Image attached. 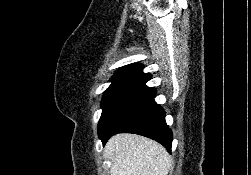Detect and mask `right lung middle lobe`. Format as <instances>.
Returning <instances> with one entry per match:
<instances>
[{
	"instance_id": "dd1d6c3e",
	"label": "right lung middle lobe",
	"mask_w": 251,
	"mask_h": 175,
	"mask_svg": "<svg viewBox=\"0 0 251 175\" xmlns=\"http://www.w3.org/2000/svg\"><path fill=\"white\" fill-rule=\"evenodd\" d=\"M111 85L104 92V97L101 103L102 114L99 123L107 113V110L112 103L122 95L128 88L135 85L138 81L128 77H115L111 79Z\"/></svg>"
}]
</instances>
